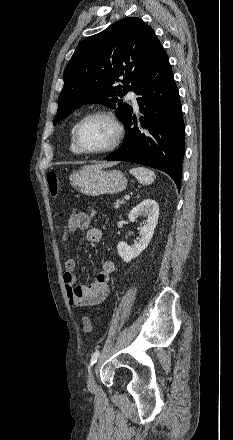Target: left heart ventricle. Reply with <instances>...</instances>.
<instances>
[{
  "label": "left heart ventricle",
  "mask_w": 233,
  "mask_h": 440,
  "mask_svg": "<svg viewBox=\"0 0 233 440\" xmlns=\"http://www.w3.org/2000/svg\"><path fill=\"white\" fill-rule=\"evenodd\" d=\"M114 133V128L109 121L94 117L82 124L78 133V141L84 149L98 150L111 143Z\"/></svg>",
  "instance_id": "left-heart-ventricle-1"
}]
</instances>
